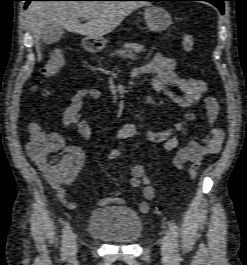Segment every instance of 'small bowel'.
Listing matches in <instances>:
<instances>
[{
    "label": "small bowel",
    "instance_id": "c3829d8e",
    "mask_svg": "<svg viewBox=\"0 0 247 265\" xmlns=\"http://www.w3.org/2000/svg\"><path fill=\"white\" fill-rule=\"evenodd\" d=\"M175 69L176 60L174 58L158 53L149 63L135 68L132 71V76L151 75L153 90L157 94L165 95L184 109H189L195 104L202 103L209 129L201 140L190 136L188 124L197 119L193 111H187L184 115V120L176 123L171 128L163 131L147 132V137L150 141L160 144L166 151L175 152L173 164L176 168L182 169L188 162L199 161L205 155L218 153L225 133L221 128L214 126L220 107L214 96L206 95L208 92L206 82L196 78H183L176 73ZM86 99L98 101L101 99V92L95 88H84L77 91L62 115V124L65 127H74L77 134L85 140L91 136L89 121L82 114ZM137 134L136 125L124 123L117 131V138L127 140ZM56 135L63 143L61 136ZM184 138H187L185 142H183ZM63 150L71 159V167L67 175L62 179L51 178L46 173L45 176L50 186L55 190L60 203L67 209L74 210L77 204L69 200L67 187L74 182L82 170L85 162V153L81 147L75 145H63ZM129 184L133 188L142 187V193L146 201L140 202L138 209L141 213H147L150 208L149 202L154 199L155 192L142 164L135 163L131 166ZM110 203L124 205L126 201L119 196L118 191H114L110 196L101 198L98 201V206L104 207Z\"/></svg>",
    "mask_w": 247,
    "mask_h": 265
}]
</instances>
